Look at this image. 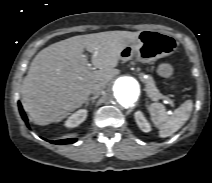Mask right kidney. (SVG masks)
Instances as JSON below:
<instances>
[{"label": "right kidney", "mask_w": 212, "mask_h": 183, "mask_svg": "<svg viewBox=\"0 0 212 183\" xmlns=\"http://www.w3.org/2000/svg\"><path fill=\"white\" fill-rule=\"evenodd\" d=\"M86 117L87 111L85 109L78 110L68 118V120L65 122V126L67 128L77 127L79 124L85 121Z\"/></svg>", "instance_id": "1"}]
</instances>
